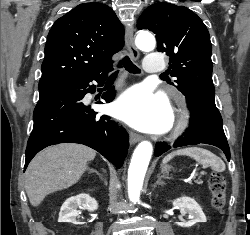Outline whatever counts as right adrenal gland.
Here are the masks:
<instances>
[{
    "mask_svg": "<svg viewBox=\"0 0 250 235\" xmlns=\"http://www.w3.org/2000/svg\"><path fill=\"white\" fill-rule=\"evenodd\" d=\"M88 172L89 173H96L101 179H103V176L95 169L91 168V169H88Z\"/></svg>",
    "mask_w": 250,
    "mask_h": 235,
    "instance_id": "2a0ac1e0",
    "label": "right adrenal gland"
}]
</instances>
